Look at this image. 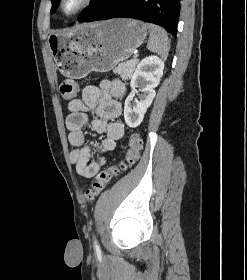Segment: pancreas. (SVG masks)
Wrapping results in <instances>:
<instances>
[{
	"instance_id": "obj_1",
	"label": "pancreas",
	"mask_w": 247,
	"mask_h": 280,
	"mask_svg": "<svg viewBox=\"0 0 247 280\" xmlns=\"http://www.w3.org/2000/svg\"><path fill=\"white\" fill-rule=\"evenodd\" d=\"M139 62L138 59L134 58L127 62L120 63L113 72L121 76L123 80H128L132 77L136 64Z\"/></svg>"
}]
</instances>
